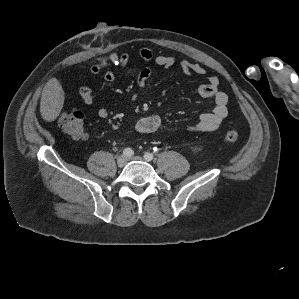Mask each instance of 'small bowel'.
Listing matches in <instances>:
<instances>
[{"label":"small bowel","instance_id":"small-bowel-1","mask_svg":"<svg viewBox=\"0 0 299 299\" xmlns=\"http://www.w3.org/2000/svg\"><path fill=\"white\" fill-rule=\"evenodd\" d=\"M138 56L143 62H151L160 67H172L177 65L181 71L187 75H204L206 70L199 64L188 60L178 61L176 58L167 55H155L150 49L142 48L139 50ZM132 57L128 53L117 55L111 54L108 60H103L90 68V74L97 75L105 71L104 78L108 82H113L116 75L112 70H107L109 65L127 66ZM151 69L146 67L142 69L138 75V86L145 90L147 81L151 76ZM198 94L204 98H213L214 107L212 111L200 115L199 120L189 127L192 132H210L216 130L222 121L228 116V95L219 89V79L216 76H210L207 83L198 87ZM79 95L85 104L94 102L93 92L90 87L82 86ZM136 95L132 94V98ZM162 121L157 115L145 116L137 120L135 130L139 133L149 134L157 132L161 129Z\"/></svg>","mask_w":299,"mask_h":299}]
</instances>
